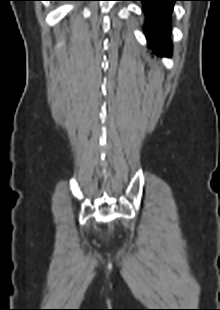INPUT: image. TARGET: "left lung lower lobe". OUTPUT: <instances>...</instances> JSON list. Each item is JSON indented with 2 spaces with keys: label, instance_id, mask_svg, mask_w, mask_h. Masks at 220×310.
Returning <instances> with one entry per match:
<instances>
[{
  "label": "left lung lower lobe",
  "instance_id": "0a47b994",
  "mask_svg": "<svg viewBox=\"0 0 220 310\" xmlns=\"http://www.w3.org/2000/svg\"><path fill=\"white\" fill-rule=\"evenodd\" d=\"M143 3L146 17L144 31L148 47L159 56L170 57L172 42L170 39L171 13L175 1L180 0H138Z\"/></svg>",
  "mask_w": 220,
  "mask_h": 310
}]
</instances>
